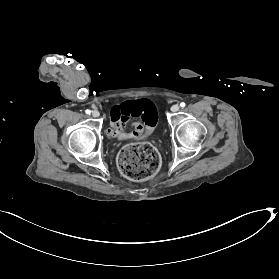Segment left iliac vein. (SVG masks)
Returning <instances> with one entry per match:
<instances>
[{
  "mask_svg": "<svg viewBox=\"0 0 279 279\" xmlns=\"http://www.w3.org/2000/svg\"><path fill=\"white\" fill-rule=\"evenodd\" d=\"M179 110V106L178 105H173L172 107H171V111L172 112H177Z\"/></svg>",
  "mask_w": 279,
  "mask_h": 279,
  "instance_id": "1",
  "label": "left iliac vein"
}]
</instances>
